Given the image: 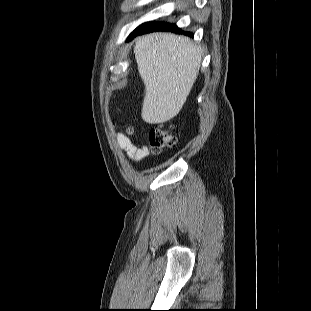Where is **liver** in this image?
I'll return each mask as SVG.
<instances>
[{
    "instance_id": "liver-1",
    "label": "liver",
    "mask_w": 311,
    "mask_h": 311,
    "mask_svg": "<svg viewBox=\"0 0 311 311\" xmlns=\"http://www.w3.org/2000/svg\"><path fill=\"white\" fill-rule=\"evenodd\" d=\"M134 53L145 85L141 117L149 124L167 122L182 109L197 79L201 48L188 37L152 33L136 40Z\"/></svg>"
}]
</instances>
